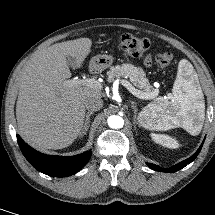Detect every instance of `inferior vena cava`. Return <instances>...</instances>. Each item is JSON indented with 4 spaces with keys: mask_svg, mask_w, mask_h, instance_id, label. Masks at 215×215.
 <instances>
[{
    "mask_svg": "<svg viewBox=\"0 0 215 215\" xmlns=\"http://www.w3.org/2000/svg\"><path fill=\"white\" fill-rule=\"evenodd\" d=\"M84 105L88 111H98L103 107V101L99 97L91 96L86 98Z\"/></svg>",
    "mask_w": 215,
    "mask_h": 215,
    "instance_id": "obj_1",
    "label": "inferior vena cava"
}]
</instances>
